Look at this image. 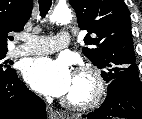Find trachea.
<instances>
[{
	"label": "trachea",
	"instance_id": "obj_1",
	"mask_svg": "<svg viewBox=\"0 0 142 119\" xmlns=\"http://www.w3.org/2000/svg\"><path fill=\"white\" fill-rule=\"evenodd\" d=\"M52 5V0H39V9H40V16L44 18L50 7Z\"/></svg>",
	"mask_w": 142,
	"mask_h": 119
}]
</instances>
